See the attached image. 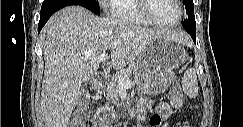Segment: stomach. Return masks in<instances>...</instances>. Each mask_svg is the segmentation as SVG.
Listing matches in <instances>:
<instances>
[{"mask_svg":"<svg viewBox=\"0 0 243 127\" xmlns=\"http://www.w3.org/2000/svg\"><path fill=\"white\" fill-rule=\"evenodd\" d=\"M184 47L169 38L154 39L139 55L134 67V80L146 93L166 90L175 76V70L186 61Z\"/></svg>","mask_w":243,"mask_h":127,"instance_id":"0dacf381","label":"stomach"}]
</instances>
